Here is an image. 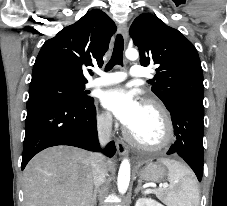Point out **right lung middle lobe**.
<instances>
[{
    "label": "right lung middle lobe",
    "instance_id": "1",
    "mask_svg": "<svg viewBox=\"0 0 227 206\" xmlns=\"http://www.w3.org/2000/svg\"><path fill=\"white\" fill-rule=\"evenodd\" d=\"M85 84H76L58 79H45L30 84L27 107L40 102L84 104L92 97L86 95Z\"/></svg>",
    "mask_w": 227,
    "mask_h": 206
}]
</instances>
